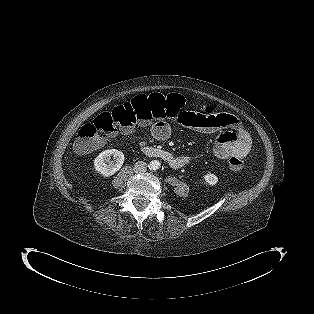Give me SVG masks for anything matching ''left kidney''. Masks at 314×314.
I'll use <instances>...</instances> for the list:
<instances>
[{
    "mask_svg": "<svg viewBox=\"0 0 314 314\" xmlns=\"http://www.w3.org/2000/svg\"><path fill=\"white\" fill-rule=\"evenodd\" d=\"M204 180L206 182V184H209V185H215L217 184L218 182V177L215 175V174H212V173H207L205 176H204Z\"/></svg>",
    "mask_w": 314,
    "mask_h": 314,
    "instance_id": "left-kidney-1",
    "label": "left kidney"
}]
</instances>
